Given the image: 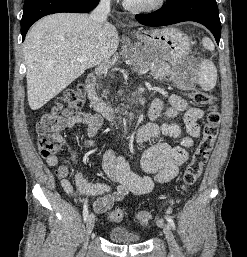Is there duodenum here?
<instances>
[{
  "label": "duodenum",
  "instance_id": "410a0bca",
  "mask_svg": "<svg viewBox=\"0 0 247 257\" xmlns=\"http://www.w3.org/2000/svg\"><path fill=\"white\" fill-rule=\"evenodd\" d=\"M96 83H97L96 74H93V73L89 74L85 80V91L92 108L109 119L115 118L116 111L108 104H106L97 95ZM142 92H143V89L139 88L135 93L134 97L132 98V101L129 106V109L131 111L135 110L140 105Z\"/></svg>",
  "mask_w": 247,
  "mask_h": 257
}]
</instances>
